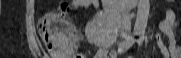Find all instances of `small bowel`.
Returning <instances> with one entry per match:
<instances>
[{
  "instance_id": "c3829d8e",
  "label": "small bowel",
  "mask_w": 181,
  "mask_h": 58,
  "mask_svg": "<svg viewBox=\"0 0 181 58\" xmlns=\"http://www.w3.org/2000/svg\"><path fill=\"white\" fill-rule=\"evenodd\" d=\"M72 8H94L98 10L100 8V1L98 0H73L71 2ZM160 29L164 32L170 41L169 49L167 50L163 45L160 44L164 54H168L171 58H181V45L177 39V22L174 13L169 10L167 17L160 23ZM155 38L159 40L158 34ZM112 53V50L108 51L101 48L95 58H107V54Z\"/></svg>"
}]
</instances>
